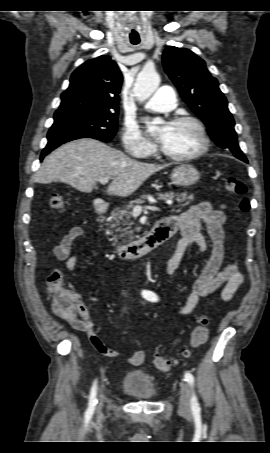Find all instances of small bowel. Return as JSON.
Returning a JSON list of instances; mask_svg holds the SVG:
<instances>
[{
	"mask_svg": "<svg viewBox=\"0 0 270 453\" xmlns=\"http://www.w3.org/2000/svg\"><path fill=\"white\" fill-rule=\"evenodd\" d=\"M164 221L170 223L176 230L179 229L182 234V238L178 242L164 271L165 276L174 274L190 245H196L200 252L208 250V241L201 232L202 225H205L211 243L210 257L194 281L192 291L188 294L183 307L177 312V317H185L191 314L201 297L214 293L222 286H224L221 292L222 299L230 301L236 291L242 286L244 276L239 271L236 262L223 265L225 257V206L214 208L209 202H200L181 214L165 218ZM84 234L85 231L81 226H74L66 232L60 243L53 249L56 259L64 262L70 272L74 271L79 260V255L72 252L73 242L83 237ZM74 295L79 300L78 313L72 317H61L73 329L87 332L91 343L101 354L108 357H117L118 353L106 346L94 333L96 325L90 319L89 310L82 301V296L79 294ZM86 298L92 303L99 302V299L95 296L87 295ZM145 359V353L137 350L132 353L128 361L132 366H140L145 362Z\"/></svg>",
	"mask_w": 270,
	"mask_h": 453,
	"instance_id": "small-bowel-1",
	"label": "small bowel"
}]
</instances>
